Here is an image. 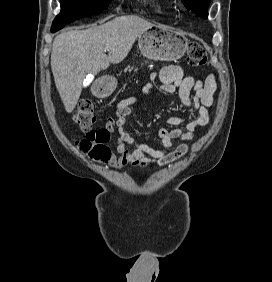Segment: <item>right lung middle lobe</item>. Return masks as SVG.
<instances>
[{
    "label": "right lung middle lobe",
    "mask_w": 272,
    "mask_h": 282,
    "mask_svg": "<svg viewBox=\"0 0 272 282\" xmlns=\"http://www.w3.org/2000/svg\"><path fill=\"white\" fill-rule=\"evenodd\" d=\"M111 0H61V12L52 27L71 23L81 17L96 14L106 9Z\"/></svg>",
    "instance_id": "dd1d6c3e"
}]
</instances>
